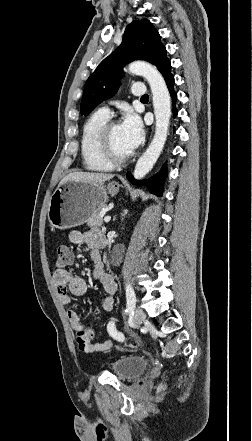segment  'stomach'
<instances>
[{
  "label": "stomach",
  "instance_id": "1",
  "mask_svg": "<svg viewBox=\"0 0 252 441\" xmlns=\"http://www.w3.org/2000/svg\"><path fill=\"white\" fill-rule=\"evenodd\" d=\"M119 185L111 182L94 184L67 181L59 185L50 198L48 220L53 228L68 229L87 222V220L105 205L108 194L119 192Z\"/></svg>",
  "mask_w": 252,
  "mask_h": 441
}]
</instances>
